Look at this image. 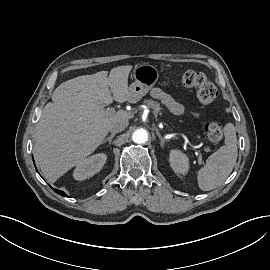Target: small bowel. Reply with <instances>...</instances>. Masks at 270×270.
<instances>
[{"label": "small bowel", "mask_w": 270, "mask_h": 270, "mask_svg": "<svg viewBox=\"0 0 270 270\" xmlns=\"http://www.w3.org/2000/svg\"><path fill=\"white\" fill-rule=\"evenodd\" d=\"M150 94L153 98L162 101V103L165 104L175 114H184L185 107L179 101L168 97L161 88L154 87Z\"/></svg>", "instance_id": "small-bowel-1"}]
</instances>
